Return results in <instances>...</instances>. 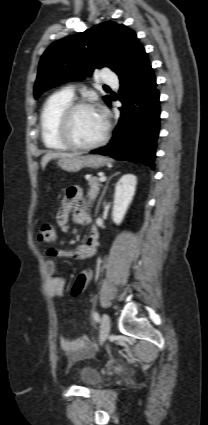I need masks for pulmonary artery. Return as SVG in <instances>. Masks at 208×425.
<instances>
[{
	"label": "pulmonary artery",
	"instance_id": "e3ab8cb5",
	"mask_svg": "<svg viewBox=\"0 0 208 425\" xmlns=\"http://www.w3.org/2000/svg\"><path fill=\"white\" fill-rule=\"evenodd\" d=\"M102 80L103 83H105L106 85H117L118 84V78L115 75V73L110 72L109 70L105 69L102 71ZM64 92L73 97L74 96V89L73 87H67Z\"/></svg>",
	"mask_w": 208,
	"mask_h": 425
}]
</instances>
